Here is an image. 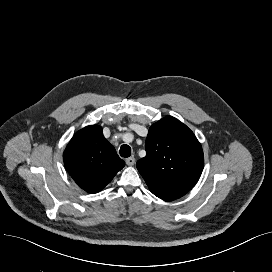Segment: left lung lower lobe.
I'll list each match as a JSON object with an SVG mask.
<instances>
[{"mask_svg": "<svg viewBox=\"0 0 272 272\" xmlns=\"http://www.w3.org/2000/svg\"><path fill=\"white\" fill-rule=\"evenodd\" d=\"M153 194L165 201H172L178 198L169 194H162V193H153Z\"/></svg>", "mask_w": 272, "mask_h": 272, "instance_id": "0a47b994", "label": "left lung lower lobe"}]
</instances>
